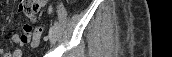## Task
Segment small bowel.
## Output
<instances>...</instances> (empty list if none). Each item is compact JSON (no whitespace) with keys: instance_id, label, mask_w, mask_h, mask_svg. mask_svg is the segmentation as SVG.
<instances>
[{"instance_id":"1","label":"small bowel","mask_w":172,"mask_h":57,"mask_svg":"<svg viewBox=\"0 0 172 57\" xmlns=\"http://www.w3.org/2000/svg\"><path fill=\"white\" fill-rule=\"evenodd\" d=\"M47 1L45 0H26L20 3L21 9H25L29 23L24 24L22 33L18 34L15 32L14 27L10 26L7 32L9 39L15 44L24 46L28 43L32 47H37L41 39V33L33 31L32 23H35L37 20L36 13L46 5ZM18 15L14 18L18 19ZM22 50L20 48L15 49L13 52L5 51L3 48H0V56L2 57H21Z\"/></svg>"}]
</instances>
